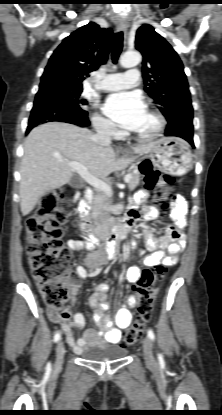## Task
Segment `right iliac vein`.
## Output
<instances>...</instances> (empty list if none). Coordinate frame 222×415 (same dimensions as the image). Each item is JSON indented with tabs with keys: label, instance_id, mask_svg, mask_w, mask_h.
Segmentation results:
<instances>
[{
	"label": "right iliac vein",
	"instance_id": "63e3f726",
	"mask_svg": "<svg viewBox=\"0 0 222 415\" xmlns=\"http://www.w3.org/2000/svg\"><path fill=\"white\" fill-rule=\"evenodd\" d=\"M65 355V347L62 341H58L56 347V365H61Z\"/></svg>",
	"mask_w": 222,
	"mask_h": 415
}]
</instances>
